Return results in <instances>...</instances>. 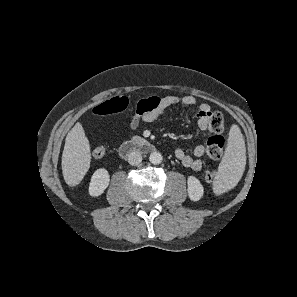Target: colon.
<instances>
[{"instance_id": "colon-1", "label": "colon", "mask_w": 297, "mask_h": 297, "mask_svg": "<svg viewBox=\"0 0 297 297\" xmlns=\"http://www.w3.org/2000/svg\"><path fill=\"white\" fill-rule=\"evenodd\" d=\"M152 101L148 99H142L138 101L135 106V111L138 115H141L148 111L152 105ZM128 107V99L123 96L113 97L99 105L93 110L96 115L105 116L111 114L121 113ZM224 125L223 115L218 111H213L209 114L208 127L211 131V135L207 139L206 153L210 160H218L223 152L225 139L222 135V129ZM93 155L100 158L105 155V148L99 146L94 149ZM215 179V171L208 170L205 173V180L208 183H212Z\"/></svg>"}]
</instances>
